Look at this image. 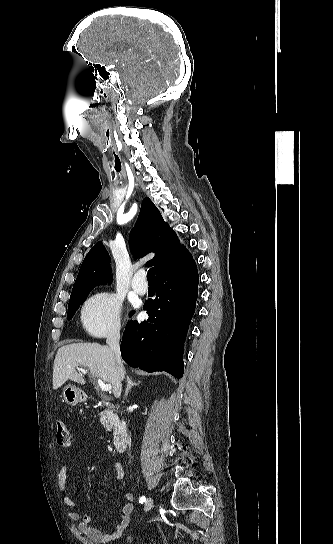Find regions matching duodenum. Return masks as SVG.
<instances>
[{
	"mask_svg": "<svg viewBox=\"0 0 333 544\" xmlns=\"http://www.w3.org/2000/svg\"><path fill=\"white\" fill-rule=\"evenodd\" d=\"M96 403L98 405L108 407L109 409H112L113 411L117 413V409L105 399H98L96 400ZM127 442H128L127 425L124 420H122L121 418L117 416V422H116L115 430L113 432V445L115 450L117 452H123L127 446Z\"/></svg>",
	"mask_w": 333,
	"mask_h": 544,
	"instance_id": "410a0bca",
	"label": "duodenum"
}]
</instances>
